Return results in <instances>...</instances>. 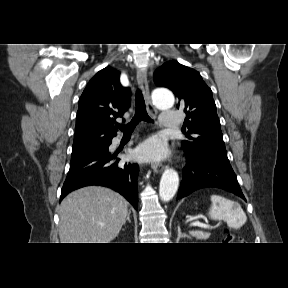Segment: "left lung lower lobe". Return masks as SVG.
<instances>
[{
  "instance_id": "obj_1",
  "label": "left lung lower lobe",
  "mask_w": 288,
  "mask_h": 288,
  "mask_svg": "<svg viewBox=\"0 0 288 288\" xmlns=\"http://www.w3.org/2000/svg\"><path fill=\"white\" fill-rule=\"evenodd\" d=\"M186 155L187 166L183 168L177 199L201 188L216 187L232 192L245 200L230 163L203 153H186Z\"/></svg>"
}]
</instances>
